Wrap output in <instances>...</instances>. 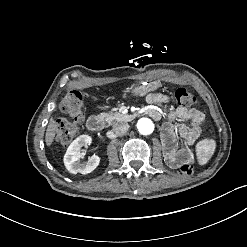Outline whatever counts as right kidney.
<instances>
[{"mask_svg":"<svg viewBox=\"0 0 247 247\" xmlns=\"http://www.w3.org/2000/svg\"><path fill=\"white\" fill-rule=\"evenodd\" d=\"M90 143L91 138L88 135H81L70 144L63 159L68 172L84 175L93 172L98 167L101 160L99 155L89 157L87 162H81L79 160L82 147H88Z\"/></svg>","mask_w":247,"mask_h":247,"instance_id":"right-kidney-1","label":"right kidney"}]
</instances>
